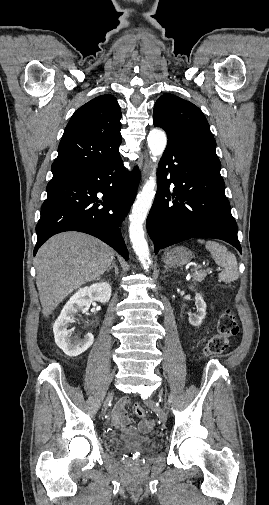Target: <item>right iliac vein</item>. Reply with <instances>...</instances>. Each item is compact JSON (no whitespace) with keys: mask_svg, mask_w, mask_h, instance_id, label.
<instances>
[{"mask_svg":"<svg viewBox=\"0 0 269 505\" xmlns=\"http://www.w3.org/2000/svg\"><path fill=\"white\" fill-rule=\"evenodd\" d=\"M113 396V393H111V395L109 396V399Z\"/></svg>","mask_w":269,"mask_h":505,"instance_id":"1","label":"right iliac vein"}]
</instances>
